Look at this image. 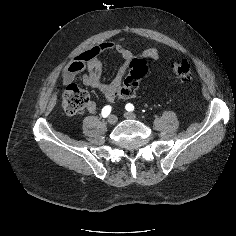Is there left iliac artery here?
Here are the masks:
<instances>
[{
    "label": "left iliac artery",
    "instance_id": "obj_1",
    "mask_svg": "<svg viewBox=\"0 0 236 236\" xmlns=\"http://www.w3.org/2000/svg\"><path fill=\"white\" fill-rule=\"evenodd\" d=\"M125 108H126L127 111H133L134 110V106L131 103L126 104Z\"/></svg>",
    "mask_w": 236,
    "mask_h": 236
}]
</instances>
